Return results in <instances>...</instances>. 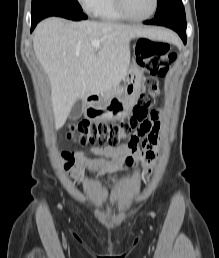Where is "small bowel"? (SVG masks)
Returning a JSON list of instances; mask_svg holds the SVG:
<instances>
[{
    "label": "small bowel",
    "mask_w": 219,
    "mask_h": 258,
    "mask_svg": "<svg viewBox=\"0 0 219 258\" xmlns=\"http://www.w3.org/2000/svg\"><path fill=\"white\" fill-rule=\"evenodd\" d=\"M160 117L161 111L154 110L150 118L151 120L143 124L127 144L120 145L116 148L103 147L97 149V153L103 158L95 160L89 165L76 168L74 170V176L77 177L78 172L81 170L103 175L125 168H131L137 164H140L143 168H147L149 163L153 162L157 156L161 130ZM142 137H144V141L142 149H140L138 142Z\"/></svg>",
    "instance_id": "small-bowel-1"
}]
</instances>
